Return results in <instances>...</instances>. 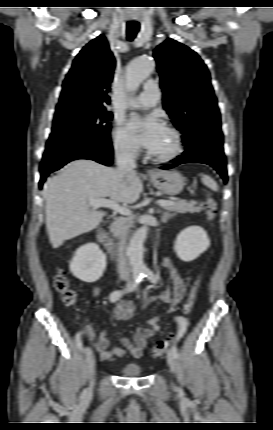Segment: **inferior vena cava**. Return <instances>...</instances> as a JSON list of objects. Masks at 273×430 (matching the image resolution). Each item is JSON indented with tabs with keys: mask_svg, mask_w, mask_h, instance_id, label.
<instances>
[{
	"mask_svg": "<svg viewBox=\"0 0 273 430\" xmlns=\"http://www.w3.org/2000/svg\"><path fill=\"white\" fill-rule=\"evenodd\" d=\"M117 169L121 173H127L133 171L136 168L135 157L130 152L117 151L115 153ZM125 237L126 233L123 232L119 243V255H118V273L121 278H129L130 271L128 268V262L125 254Z\"/></svg>",
	"mask_w": 273,
	"mask_h": 430,
	"instance_id": "obj_1",
	"label": "inferior vena cava"
}]
</instances>
